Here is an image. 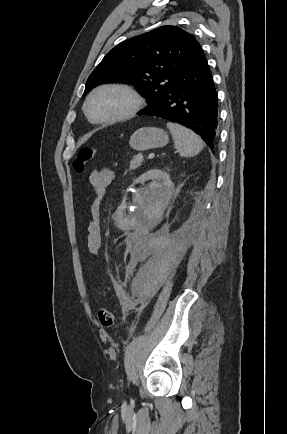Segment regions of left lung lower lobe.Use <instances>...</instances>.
<instances>
[{
  "mask_svg": "<svg viewBox=\"0 0 287 434\" xmlns=\"http://www.w3.org/2000/svg\"><path fill=\"white\" fill-rule=\"evenodd\" d=\"M217 93L205 56L179 73L161 99L139 112L190 128L213 149L218 135Z\"/></svg>",
  "mask_w": 287,
  "mask_h": 434,
  "instance_id": "0a47b994",
  "label": "left lung lower lobe"
}]
</instances>
